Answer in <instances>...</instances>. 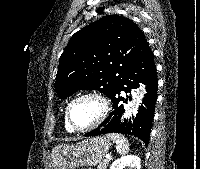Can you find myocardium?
Here are the masks:
<instances>
[{
  "label": "myocardium",
  "mask_w": 200,
  "mask_h": 169,
  "mask_svg": "<svg viewBox=\"0 0 200 169\" xmlns=\"http://www.w3.org/2000/svg\"><path fill=\"white\" fill-rule=\"evenodd\" d=\"M86 98H91V99L96 100L98 102L99 106H100V112H99L97 119L91 125L84 127V128H78V127L74 126V124L72 122L71 108L77 101L82 100V99H86ZM110 106H111L110 100L108 99V97L104 93L97 91V90L84 91V92L76 95L68 103V105L66 107L67 123L70 126V128L75 132L84 133V132L92 131L95 128H97L106 119V117L108 116L109 111H110Z\"/></svg>",
  "instance_id": "myocardium-1"
}]
</instances>
